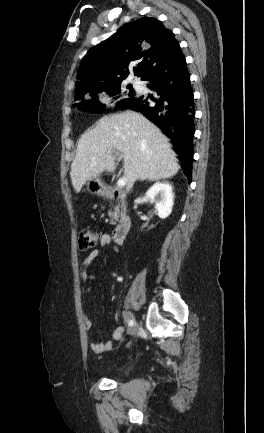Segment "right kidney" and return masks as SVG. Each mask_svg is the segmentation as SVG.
I'll use <instances>...</instances> for the list:
<instances>
[{
  "label": "right kidney",
  "mask_w": 264,
  "mask_h": 433,
  "mask_svg": "<svg viewBox=\"0 0 264 433\" xmlns=\"http://www.w3.org/2000/svg\"><path fill=\"white\" fill-rule=\"evenodd\" d=\"M172 190L173 188L168 182H157L146 192V198L151 201L160 195L161 201L156 202V209L161 219L167 218L172 212L174 204Z\"/></svg>",
  "instance_id": "obj_1"
}]
</instances>
